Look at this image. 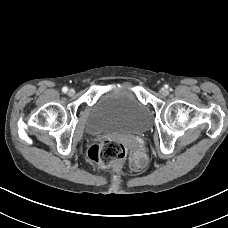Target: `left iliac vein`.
I'll return each instance as SVG.
<instances>
[{"label": "left iliac vein", "instance_id": "obj_1", "mask_svg": "<svg viewBox=\"0 0 228 228\" xmlns=\"http://www.w3.org/2000/svg\"><path fill=\"white\" fill-rule=\"evenodd\" d=\"M159 92H160V94L163 95V96H166V95L168 94V90L165 89V88L160 89Z\"/></svg>", "mask_w": 228, "mask_h": 228}]
</instances>
